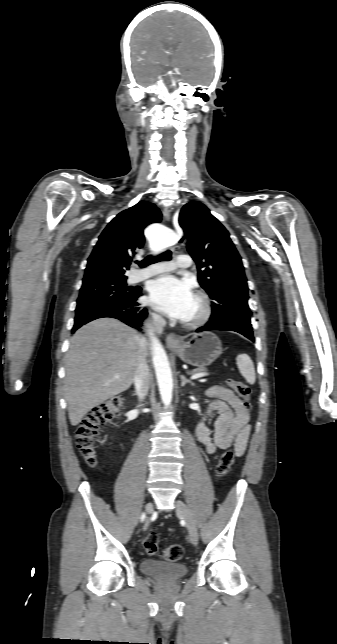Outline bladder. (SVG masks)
<instances>
[{
  "instance_id": "31cf9c89",
  "label": "bladder",
  "mask_w": 337,
  "mask_h": 644,
  "mask_svg": "<svg viewBox=\"0 0 337 644\" xmlns=\"http://www.w3.org/2000/svg\"><path fill=\"white\" fill-rule=\"evenodd\" d=\"M143 574L159 580L175 581L188 573L184 563L165 562L155 559H143L140 563Z\"/></svg>"
}]
</instances>
